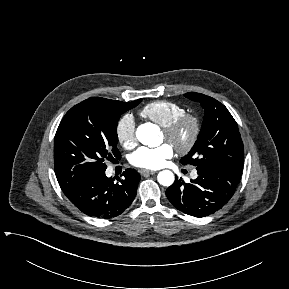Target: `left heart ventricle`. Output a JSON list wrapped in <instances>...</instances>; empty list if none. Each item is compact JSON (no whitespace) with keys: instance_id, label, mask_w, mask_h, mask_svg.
Here are the masks:
<instances>
[{"instance_id":"left-heart-ventricle-1","label":"left heart ventricle","mask_w":289,"mask_h":289,"mask_svg":"<svg viewBox=\"0 0 289 289\" xmlns=\"http://www.w3.org/2000/svg\"><path fill=\"white\" fill-rule=\"evenodd\" d=\"M189 134H190V128H189V126H185L182 129V131L180 132V134L178 135L176 141L177 142H184L188 138ZM162 140L168 142V140L166 139L164 134L162 135Z\"/></svg>"}]
</instances>
